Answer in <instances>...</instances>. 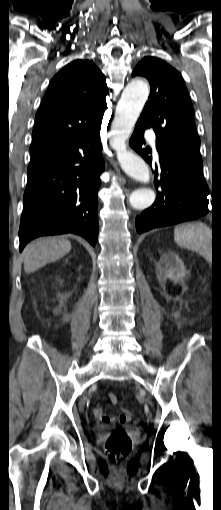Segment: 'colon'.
I'll return each instance as SVG.
<instances>
[{
  "instance_id": "colon-1",
  "label": "colon",
  "mask_w": 221,
  "mask_h": 510,
  "mask_svg": "<svg viewBox=\"0 0 221 510\" xmlns=\"http://www.w3.org/2000/svg\"><path fill=\"white\" fill-rule=\"evenodd\" d=\"M109 400L113 404L117 403L116 395H110ZM130 420L129 414H121L119 416V421L123 424L128 423ZM131 447V438L123 429H116L108 436L105 442V454L116 472H119L123 461L131 451Z\"/></svg>"
}]
</instances>
